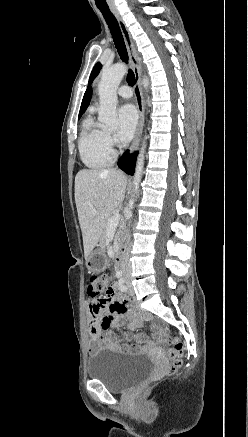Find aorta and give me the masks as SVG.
<instances>
[{"instance_id": "762f6f07", "label": "aorta", "mask_w": 248, "mask_h": 437, "mask_svg": "<svg viewBox=\"0 0 248 437\" xmlns=\"http://www.w3.org/2000/svg\"><path fill=\"white\" fill-rule=\"evenodd\" d=\"M127 67L124 64H117L109 69H105L102 73L98 87L100 107L98 111V120L107 127L115 128L118 125L116 106H117V89L123 79ZM145 88L149 85V80H143ZM146 140V137H145ZM145 140L142 143L136 164L134 174V188L136 197L139 196V184L143 175V167L145 160Z\"/></svg>"}]
</instances>
